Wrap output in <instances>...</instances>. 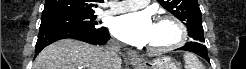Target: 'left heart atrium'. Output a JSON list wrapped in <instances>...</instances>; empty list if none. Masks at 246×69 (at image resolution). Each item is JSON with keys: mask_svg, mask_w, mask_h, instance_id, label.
I'll list each match as a JSON object with an SVG mask.
<instances>
[{"mask_svg": "<svg viewBox=\"0 0 246 69\" xmlns=\"http://www.w3.org/2000/svg\"><path fill=\"white\" fill-rule=\"evenodd\" d=\"M154 22L147 11L127 13L116 17L111 25L112 33L120 41L134 46L149 43Z\"/></svg>", "mask_w": 246, "mask_h": 69, "instance_id": "1", "label": "left heart atrium"}]
</instances>
